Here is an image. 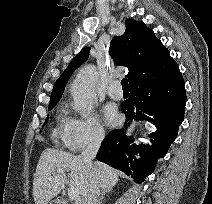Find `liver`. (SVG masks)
Masks as SVG:
<instances>
[{"label": "liver", "instance_id": "6515ba94", "mask_svg": "<svg viewBox=\"0 0 212 204\" xmlns=\"http://www.w3.org/2000/svg\"><path fill=\"white\" fill-rule=\"evenodd\" d=\"M56 169L70 171V178L67 180L65 173L55 174ZM90 178L106 191H111L118 182L116 170L104 163L95 162L90 168L79 155L46 148L39 158L33 179L35 204H48L62 191L66 183L70 188L77 189L83 197Z\"/></svg>", "mask_w": 212, "mask_h": 204}]
</instances>
